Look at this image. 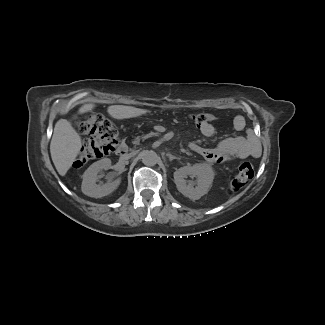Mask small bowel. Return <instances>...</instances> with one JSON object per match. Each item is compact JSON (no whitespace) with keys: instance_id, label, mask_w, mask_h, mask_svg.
<instances>
[{"instance_id":"1","label":"small bowel","mask_w":325,"mask_h":325,"mask_svg":"<svg viewBox=\"0 0 325 325\" xmlns=\"http://www.w3.org/2000/svg\"><path fill=\"white\" fill-rule=\"evenodd\" d=\"M209 116L211 119L199 126V130L203 135L213 137L218 133V128L215 125L217 118L213 114H209ZM232 127L235 131L242 130L245 127V119L240 115L234 117ZM190 148L206 160L214 163H223L232 158L243 159L257 154V150L248 139L241 135L226 137L215 147L191 144Z\"/></svg>"}]
</instances>
